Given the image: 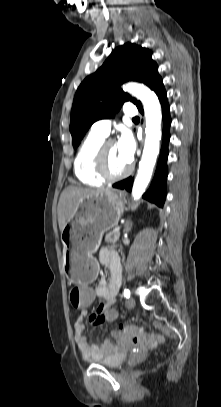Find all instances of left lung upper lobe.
Listing matches in <instances>:
<instances>
[{
	"mask_svg": "<svg viewBox=\"0 0 221 407\" xmlns=\"http://www.w3.org/2000/svg\"><path fill=\"white\" fill-rule=\"evenodd\" d=\"M152 52L126 43L113 50L103 65L78 87L71 110L70 132L76 148L89 127L99 119L111 118L122 104L141 103L123 92L120 85L128 80L145 83L152 90L161 77Z\"/></svg>",
	"mask_w": 221,
	"mask_h": 407,
	"instance_id": "1",
	"label": "left lung upper lobe"
}]
</instances>
